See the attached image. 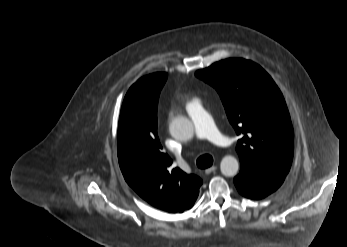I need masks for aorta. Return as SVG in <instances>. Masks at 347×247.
I'll return each instance as SVG.
<instances>
[{
  "instance_id": "1",
  "label": "aorta",
  "mask_w": 347,
  "mask_h": 247,
  "mask_svg": "<svg viewBox=\"0 0 347 247\" xmlns=\"http://www.w3.org/2000/svg\"><path fill=\"white\" fill-rule=\"evenodd\" d=\"M170 134L177 140L187 141L193 137L194 126L193 123L186 117H176L169 125ZM220 170L224 176H235L239 170V162L232 155L223 157L220 163Z\"/></svg>"
}]
</instances>
